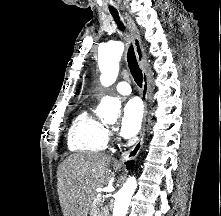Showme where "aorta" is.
Here are the masks:
<instances>
[{
	"instance_id": "1",
	"label": "aorta",
	"mask_w": 221,
	"mask_h": 216,
	"mask_svg": "<svg viewBox=\"0 0 221 216\" xmlns=\"http://www.w3.org/2000/svg\"><path fill=\"white\" fill-rule=\"evenodd\" d=\"M124 51V45L120 41H110L99 48L98 65L101 72L100 81L104 86L112 85L119 72V61ZM121 104L118 100L106 96L103 97L97 107V115L100 118H117ZM137 188L135 177H129L123 187L116 193L113 208V216H125L131 202V198Z\"/></svg>"
}]
</instances>
